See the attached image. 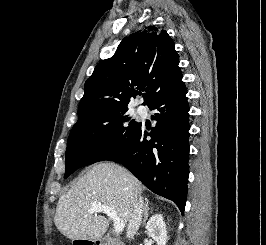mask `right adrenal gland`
Returning <instances> with one entry per match:
<instances>
[{"mask_svg":"<svg viewBox=\"0 0 266 245\" xmlns=\"http://www.w3.org/2000/svg\"><path fill=\"white\" fill-rule=\"evenodd\" d=\"M145 201V207H144V217H143V221H142V227H144L146 221H147V217H148V213H149V201L148 199H144ZM151 213H152V209H151Z\"/></svg>","mask_w":266,"mask_h":245,"instance_id":"right-adrenal-gland-1","label":"right adrenal gland"}]
</instances>
